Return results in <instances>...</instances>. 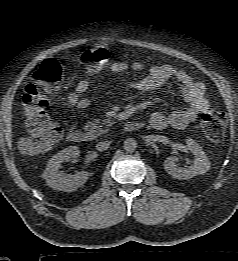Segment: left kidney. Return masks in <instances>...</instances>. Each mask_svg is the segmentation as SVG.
<instances>
[{"instance_id":"1","label":"left kidney","mask_w":238,"mask_h":261,"mask_svg":"<svg viewBox=\"0 0 238 261\" xmlns=\"http://www.w3.org/2000/svg\"><path fill=\"white\" fill-rule=\"evenodd\" d=\"M188 149L194 154L193 165L181 167L177 165L176 157H168L164 161V170L172 177L177 179H190L194 176L206 173L210 169V161L203 149L193 139H187Z\"/></svg>"}]
</instances>
